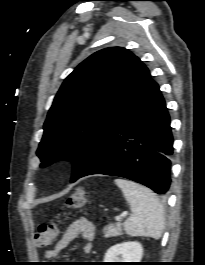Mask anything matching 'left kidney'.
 <instances>
[{
  "label": "left kidney",
  "instance_id": "obj_1",
  "mask_svg": "<svg viewBox=\"0 0 205 265\" xmlns=\"http://www.w3.org/2000/svg\"><path fill=\"white\" fill-rule=\"evenodd\" d=\"M143 247L139 242L128 241L110 247L104 257V262H140Z\"/></svg>",
  "mask_w": 205,
  "mask_h": 265
}]
</instances>
